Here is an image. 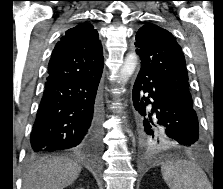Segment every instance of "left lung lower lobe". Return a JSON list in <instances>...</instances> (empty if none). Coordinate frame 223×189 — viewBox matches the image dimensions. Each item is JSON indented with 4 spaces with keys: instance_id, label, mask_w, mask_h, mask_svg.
<instances>
[{
    "instance_id": "1",
    "label": "left lung lower lobe",
    "mask_w": 223,
    "mask_h": 189,
    "mask_svg": "<svg viewBox=\"0 0 223 189\" xmlns=\"http://www.w3.org/2000/svg\"><path fill=\"white\" fill-rule=\"evenodd\" d=\"M132 97L140 131L153 133L156 128L178 149L200 147L202 141L195 110L178 100L151 69L141 66Z\"/></svg>"
}]
</instances>
